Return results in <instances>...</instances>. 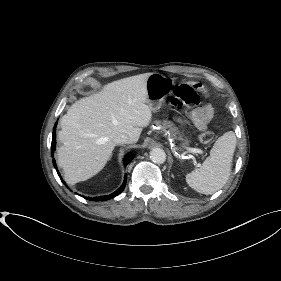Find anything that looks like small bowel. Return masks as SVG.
Returning a JSON list of instances; mask_svg holds the SVG:
<instances>
[{
	"instance_id": "obj_1",
	"label": "small bowel",
	"mask_w": 281,
	"mask_h": 281,
	"mask_svg": "<svg viewBox=\"0 0 281 281\" xmlns=\"http://www.w3.org/2000/svg\"><path fill=\"white\" fill-rule=\"evenodd\" d=\"M213 117V109L210 106H202L193 110L192 118L196 127L204 130Z\"/></svg>"
}]
</instances>
